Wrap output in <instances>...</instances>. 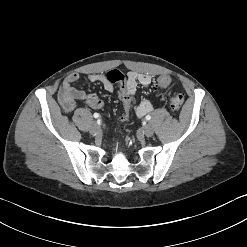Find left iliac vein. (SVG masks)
<instances>
[{
  "label": "left iliac vein",
  "mask_w": 247,
  "mask_h": 247,
  "mask_svg": "<svg viewBox=\"0 0 247 247\" xmlns=\"http://www.w3.org/2000/svg\"><path fill=\"white\" fill-rule=\"evenodd\" d=\"M143 133L145 136L147 137H151L154 133L153 127L150 124H147L144 128H143Z\"/></svg>",
  "instance_id": "1"
}]
</instances>
